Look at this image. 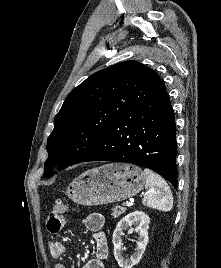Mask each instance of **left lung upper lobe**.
I'll use <instances>...</instances> for the list:
<instances>
[{"label":"left lung upper lobe","mask_w":221,"mask_h":268,"mask_svg":"<svg viewBox=\"0 0 221 268\" xmlns=\"http://www.w3.org/2000/svg\"><path fill=\"white\" fill-rule=\"evenodd\" d=\"M165 89L155 71L135 61L100 70L74 88L54 119L47 166L82 162L122 114ZM50 171L46 168L44 176Z\"/></svg>","instance_id":"1"}]
</instances>
